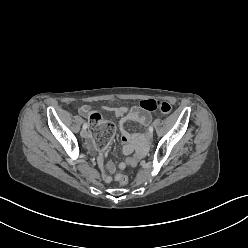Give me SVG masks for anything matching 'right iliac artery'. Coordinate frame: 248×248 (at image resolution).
Masks as SVG:
<instances>
[{
    "label": "right iliac artery",
    "mask_w": 248,
    "mask_h": 248,
    "mask_svg": "<svg viewBox=\"0 0 248 248\" xmlns=\"http://www.w3.org/2000/svg\"><path fill=\"white\" fill-rule=\"evenodd\" d=\"M87 127H88V124L87 123H84L83 124V129H87Z\"/></svg>",
    "instance_id": "1"
}]
</instances>
